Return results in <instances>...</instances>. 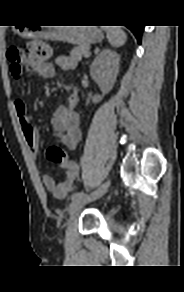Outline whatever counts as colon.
Returning <instances> with one entry per match:
<instances>
[{"mask_svg":"<svg viewBox=\"0 0 184 292\" xmlns=\"http://www.w3.org/2000/svg\"><path fill=\"white\" fill-rule=\"evenodd\" d=\"M50 54L49 46L39 41L31 42L25 48L10 47L7 51V57L10 61L12 76L20 78L24 73L44 63ZM46 155L49 161L58 165L70 161L67 152L57 145L50 146Z\"/></svg>","mask_w":184,"mask_h":292,"instance_id":"colon-1","label":"colon"}]
</instances>
